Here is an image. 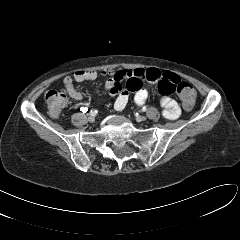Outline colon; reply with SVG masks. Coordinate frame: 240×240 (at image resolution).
<instances>
[{"mask_svg":"<svg viewBox=\"0 0 240 240\" xmlns=\"http://www.w3.org/2000/svg\"><path fill=\"white\" fill-rule=\"evenodd\" d=\"M175 90L182 102V105L186 109H190L196 100V91L194 88L189 83L180 81ZM45 102L48 112L53 116H57L64 109L67 97L63 92L50 90L45 95Z\"/></svg>","mask_w":240,"mask_h":240,"instance_id":"colon-1","label":"colon"}]
</instances>
